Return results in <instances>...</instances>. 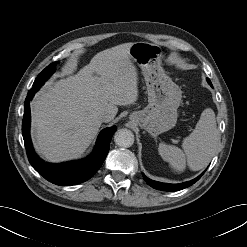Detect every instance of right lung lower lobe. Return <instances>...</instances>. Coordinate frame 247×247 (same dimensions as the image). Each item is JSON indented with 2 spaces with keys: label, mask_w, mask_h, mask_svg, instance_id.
I'll return each instance as SVG.
<instances>
[{
  "label": "right lung lower lobe",
  "mask_w": 247,
  "mask_h": 247,
  "mask_svg": "<svg viewBox=\"0 0 247 247\" xmlns=\"http://www.w3.org/2000/svg\"><path fill=\"white\" fill-rule=\"evenodd\" d=\"M37 89L32 88L27 94L22 122V134L30 164L45 179L57 185L70 186L87 181L103 164L110 148L111 138L117 128L104 129L98 137L93 154L84 160L63 164L46 163L36 155L30 138L31 116L29 105Z\"/></svg>",
  "instance_id": "1"
}]
</instances>
